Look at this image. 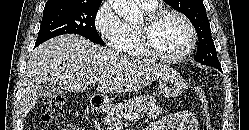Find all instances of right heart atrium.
I'll use <instances>...</instances> for the list:
<instances>
[{"mask_svg":"<svg viewBox=\"0 0 249 130\" xmlns=\"http://www.w3.org/2000/svg\"><path fill=\"white\" fill-rule=\"evenodd\" d=\"M94 27L99 36L111 48L117 49L123 34L124 23L108 2H103L94 16Z\"/></svg>","mask_w":249,"mask_h":130,"instance_id":"obj_1","label":"right heart atrium"}]
</instances>
